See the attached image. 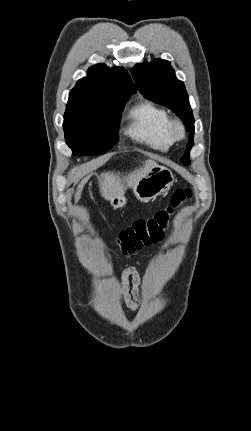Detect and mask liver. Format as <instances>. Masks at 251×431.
Returning a JSON list of instances; mask_svg holds the SVG:
<instances>
[{"label": "liver", "instance_id": "6515ba94", "mask_svg": "<svg viewBox=\"0 0 251 431\" xmlns=\"http://www.w3.org/2000/svg\"><path fill=\"white\" fill-rule=\"evenodd\" d=\"M157 163L153 160H145L142 162V166L135 169L134 171L122 175L120 172H103L97 176L99 189L102 197L106 200H111L113 197L124 195L127 188H132L137 181L146 175ZM91 173L84 177L79 183L76 193L75 202L77 203L81 197V193L84 185L90 178Z\"/></svg>", "mask_w": 251, "mask_h": 431}]
</instances>
